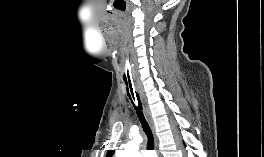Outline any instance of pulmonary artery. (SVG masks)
Returning <instances> with one entry per match:
<instances>
[{
  "label": "pulmonary artery",
  "instance_id": "pulmonary-artery-1",
  "mask_svg": "<svg viewBox=\"0 0 264 157\" xmlns=\"http://www.w3.org/2000/svg\"><path fill=\"white\" fill-rule=\"evenodd\" d=\"M151 155H154L152 152L150 153L149 151H145L144 153H143V157H149V156H151Z\"/></svg>",
  "mask_w": 264,
  "mask_h": 157
}]
</instances>
